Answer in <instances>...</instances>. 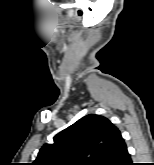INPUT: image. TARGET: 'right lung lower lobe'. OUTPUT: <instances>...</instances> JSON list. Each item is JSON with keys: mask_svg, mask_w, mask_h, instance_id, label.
Listing matches in <instances>:
<instances>
[{"mask_svg": "<svg viewBox=\"0 0 154 165\" xmlns=\"http://www.w3.org/2000/svg\"><path fill=\"white\" fill-rule=\"evenodd\" d=\"M112 149L113 152L103 165H133L122 137L116 141Z\"/></svg>", "mask_w": 154, "mask_h": 165, "instance_id": "obj_1", "label": "right lung lower lobe"}]
</instances>
